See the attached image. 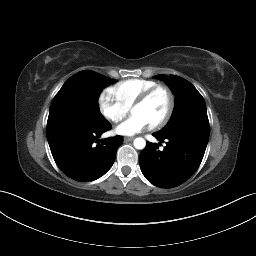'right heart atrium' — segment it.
I'll return each instance as SVG.
<instances>
[{"label": "right heart atrium", "instance_id": "1", "mask_svg": "<svg viewBox=\"0 0 256 256\" xmlns=\"http://www.w3.org/2000/svg\"><path fill=\"white\" fill-rule=\"evenodd\" d=\"M98 106L101 114L113 123L121 121L128 113V108L113 99L107 92L100 94Z\"/></svg>", "mask_w": 256, "mask_h": 256}]
</instances>
